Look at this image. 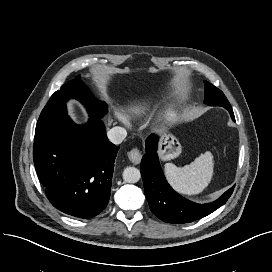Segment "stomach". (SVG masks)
<instances>
[{"label": "stomach", "instance_id": "stomach-1", "mask_svg": "<svg viewBox=\"0 0 272 272\" xmlns=\"http://www.w3.org/2000/svg\"><path fill=\"white\" fill-rule=\"evenodd\" d=\"M159 134V155L161 159L167 161L178 157L182 151L179 140L167 131H161Z\"/></svg>", "mask_w": 272, "mask_h": 272}]
</instances>
